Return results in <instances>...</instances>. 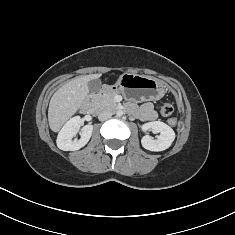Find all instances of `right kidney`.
I'll use <instances>...</instances> for the list:
<instances>
[{
  "label": "right kidney",
  "instance_id": "1",
  "mask_svg": "<svg viewBox=\"0 0 235 235\" xmlns=\"http://www.w3.org/2000/svg\"><path fill=\"white\" fill-rule=\"evenodd\" d=\"M81 118L75 116L63 126L57 137V146L63 151H76L84 147L91 138L93 126L85 125L80 132V139L72 140L79 131Z\"/></svg>",
  "mask_w": 235,
  "mask_h": 235
}]
</instances>
